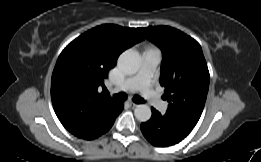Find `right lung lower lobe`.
I'll return each mask as SVG.
<instances>
[{
  "instance_id": "obj_1",
  "label": "right lung lower lobe",
  "mask_w": 261,
  "mask_h": 162,
  "mask_svg": "<svg viewBox=\"0 0 261 162\" xmlns=\"http://www.w3.org/2000/svg\"><path fill=\"white\" fill-rule=\"evenodd\" d=\"M113 123H114V122H113ZM113 123H111L108 127H106V129H105L102 133H100L98 136H96L95 138H97V137H99L100 135H102L103 133L107 132V131L112 127ZM95 138H94V139H95Z\"/></svg>"
}]
</instances>
